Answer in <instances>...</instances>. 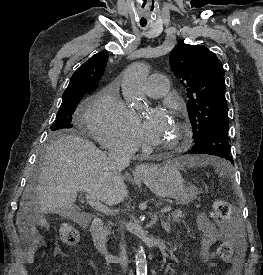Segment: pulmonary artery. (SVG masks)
I'll return each instance as SVG.
<instances>
[{
  "instance_id": "pulmonary-artery-1",
  "label": "pulmonary artery",
  "mask_w": 263,
  "mask_h": 275,
  "mask_svg": "<svg viewBox=\"0 0 263 275\" xmlns=\"http://www.w3.org/2000/svg\"><path fill=\"white\" fill-rule=\"evenodd\" d=\"M145 92L151 98H160L168 92V81L162 74H152L149 76Z\"/></svg>"
}]
</instances>
